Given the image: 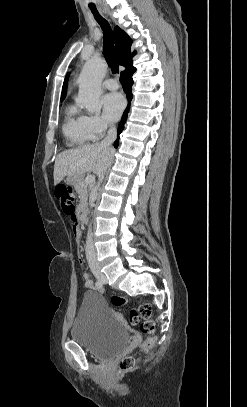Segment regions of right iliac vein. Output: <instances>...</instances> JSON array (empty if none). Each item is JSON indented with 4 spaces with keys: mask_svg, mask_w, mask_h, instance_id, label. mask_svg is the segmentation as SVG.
Wrapping results in <instances>:
<instances>
[{
    "mask_svg": "<svg viewBox=\"0 0 247 407\" xmlns=\"http://www.w3.org/2000/svg\"><path fill=\"white\" fill-rule=\"evenodd\" d=\"M91 270L99 281L104 283L107 281L106 277L100 272L98 265H91Z\"/></svg>",
    "mask_w": 247,
    "mask_h": 407,
    "instance_id": "obj_1",
    "label": "right iliac vein"
}]
</instances>
